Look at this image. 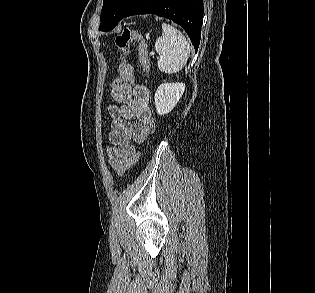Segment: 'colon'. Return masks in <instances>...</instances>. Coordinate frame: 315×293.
<instances>
[{
  "label": "colon",
  "mask_w": 315,
  "mask_h": 293,
  "mask_svg": "<svg viewBox=\"0 0 315 293\" xmlns=\"http://www.w3.org/2000/svg\"><path fill=\"white\" fill-rule=\"evenodd\" d=\"M133 39L138 40L137 56L141 61L145 73L149 71V56L147 49V41L135 30L125 27L115 37V44L121 52L119 63V78H114L111 83V90L113 94H118L121 91V85H133V68L128 61L130 55V43ZM138 153H134L119 169L118 175L122 176L137 160Z\"/></svg>",
  "instance_id": "colon-1"
}]
</instances>
